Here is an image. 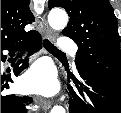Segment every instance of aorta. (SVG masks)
Instances as JSON below:
<instances>
[{"label": "aorta", "mask_w": 121, "mask_h": 113, "mask_svg": "<svg viewBox=\"0 0 121 113\" xmlns=\"http://www.w3.org/2000/svg\"><path fill=\"white\" fill-rule=\"evenodd\" d=\"M48 22L51 28L61 30L66 27L68 16L62 9H53L48 15ZM51 113H65V109L60 105H56L52 108Z\"/></svg>", "instance_id": "aorta-1"}]
</instances>
